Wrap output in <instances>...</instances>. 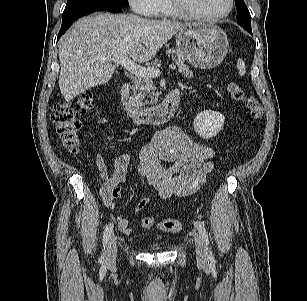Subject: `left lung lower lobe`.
<instances>
[{"label":"left lung lower lobe","mask_w":307,"mask_h":301,"mask_svg":"<svg viewBox=\"0 0 307 301\" xmlns=\"http://www.w3.org/2000/svg\"><path fill=\"white\" fill-rule=\"evenodd\" d=\"M245 30L248 31L250 34H252V30L251 29H245Z\"/></svg>","instance_id":"1"}]
</instances>
